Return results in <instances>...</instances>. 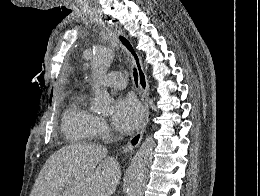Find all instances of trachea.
<instances>
[{"mask_svg": "<svg viewBox=\"0 0 260 196\" xmlns=\"http://www.w3.org/2000/svg\"><path fill=\"white\" fill-rule=\"evenodd\" d=\"M133 76H134L135 84H136V86H138V73H137V70L135 68H134V71H133Z\"/></svg>", "mask_w": 260, "mask_h": 196, "instance_id": "1", "label": "trachea"}]
</instances>
